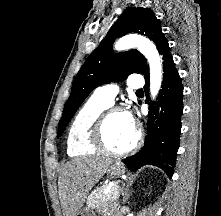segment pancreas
Wrapping results in <instances>:
<instances>
[{"instance_id": "pancreas-1", "label": "pancreas", "mask_w": 221, "mask_h": 216, "mask_svg": "<svg viewBox=\"0 0 221 216\" xmlns=\"http://www.w3.org/2000/svg\"><path fill=\"white\" fill-rule=\"evenodd\" d=\"M117 184H114L111 188V191L104 194V191L106 190L107 186L104 185L102 187L97 188L89 197L87 200V205L90 208H98V209H107L106 207L117 201L119 198V192L120 188L117 187ZM117 187V188H116Z\"/></svg>"}]
</instances>
